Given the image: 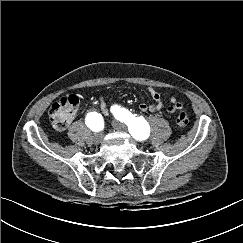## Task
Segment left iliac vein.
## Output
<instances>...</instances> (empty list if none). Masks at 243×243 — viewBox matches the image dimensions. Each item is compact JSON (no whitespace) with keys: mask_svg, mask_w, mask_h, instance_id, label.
<instances>
[{"mask_svg":"<svg viewBox=\"0 0 243 243\" xmlns=\"http://www.w3.org/2000/svg\"><path fill=\"white\" fill-rule=\"evenodd\" d=\"M112 126L114 129L119 130V131H125L126 130V125L122 122H119L117 120L112 121Z\"/></svg>","mask_w":243,"mask_h":243,"instance_id":"left-iliac-vein-1","label":"left iliac vein"}]
</instances>
